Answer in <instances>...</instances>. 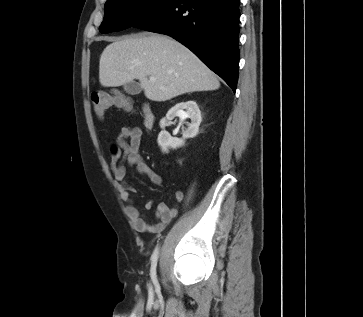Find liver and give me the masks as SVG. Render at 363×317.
I'll list each match as a JSON object with an SVG mask.
<instances>
[{
    "label": "liver",
    "instance_id": "liver-1",
    "mask_svg": "<svg viewBox=\"0 0 363 317\" xmlns=\"http://www.w3.org/2000/svg\"><path fill=\"white\" fill-rule=\"evenodd\" d=\"M148 77H155V82ZM134 79L139 80L148 99L158 102L220 87L216 75L194 53L178 41L157 34L125 37L102 52V86L118 87Z\"/></svg>",
    "mask_w": 363,
    "mask_h": 317
}]
</instances>
